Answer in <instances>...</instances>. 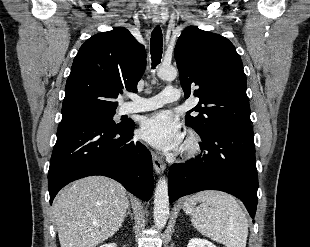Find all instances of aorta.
<instances>
[{
  "label": "aorta",
  "mask_w": 310,
  "mask_h": 247,
  "mask_svg": "<svg viewBox=\"0 0 310 247\" xmlns=\"http://www.w3.org/2000/svg\"><path fill=\"white\" fill-rule=\"evenodd\" d=\"M160 79L172 81L177 76V70L173 66H161L157 71ZM154 224L157 229H162L169 217L168 181L165 177L158 180L154 194Z\"/></svg>",
  "instance_id": "762f6f07"
}]
</instances>
